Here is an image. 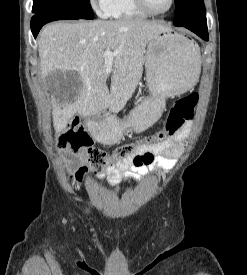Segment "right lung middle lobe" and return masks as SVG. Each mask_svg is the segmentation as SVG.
Listing matches in <instances>:
<instances>
[{
    "instance_id": "dd1d6c3e",
    "label": "right lung middle lobe",
    "mask_w": 247,
    "mask_h": 275,
    "mask_svg": "<svg viewBox=\"0 0 247 275\" xmlns=\"http://www.w3.org/2000/svg\"><path fill=\"white\" fill-rule=\"evenodd\" d=\"M32 12L60 13L81 19L94 18L89 0H33Z\"/></svg>"
}]
</instances>
